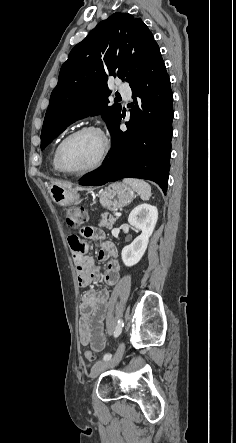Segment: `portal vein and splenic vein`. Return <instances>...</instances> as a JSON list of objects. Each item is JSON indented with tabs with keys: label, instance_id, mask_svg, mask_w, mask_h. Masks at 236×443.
Returning <instances> with one entry per match:
<instances>
[{
	"label": "portal vein and splenic vein",
	"instance_id": "1",
	"mask_svg": "<svg viewBox=\"0 0 236 443\" xmlns=\"http://www.w3.org/2000/svg\"><path fill=\"white\" fill-rule=\"evenodd\" d=\"M115 216L119 217V216H121V213H115Z\"/></svg>",
	"mask_w": 236,
	"mask_h": 443
}]
</instances>
